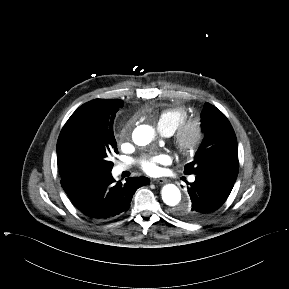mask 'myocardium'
I'll return each mask as SVG.
<instances>
[{
	"label": "myocardium",
	"instance_id": "f54148a6",
	"mask_svg": "<svg viewBox=\"0 0 289 289\" xmlns=\"http://www.w3.org/2000/svg\"><path fill=\"white\" fill-rule=\"evenodd\" d=\"M204 135V126L201 119L189 118L174 132V143L181 154L189 156L200 148Z\"/></svg>",
	"mask_w": 289,
	"mask_h": 289
}]
</instances>
